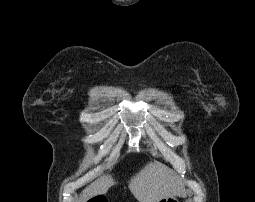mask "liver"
I'll use <instances>...</instances> for the list:
<instances>
[{"instance_id": "obj_1", "label": "liver", "mask_w": 255, "mask_h": 202, "mask_svg": "<svg viewBox=\"0 0 255 202\" xmlns=\"http://www.w3.org/2000/svg\"><path fill=\"white\" fill-rule=\"evenodd\" d=\"M115 184L111 175H104L85 188L78 202L103 195ZM128 187L139 202H159L162 198L179 195L185 190L179 178L167 167L148 163L129 181Z\"/></svg>"}]
</instances>
